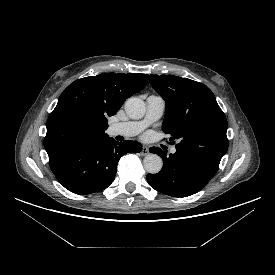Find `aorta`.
Returning a JSON list of instances; mask_svg holds the SVG:
<instances>
[{"label": "aorta", "mask_w": 275, "mask_h": 275, "mask_svg": "<svg viewBox=\"0 0 275 275\" xmlns=\"http://www.w3.org/2000/svg\"><path fill=\"white\" fill-rule=\"evenodd\" d=\"M125 111L131 119H140L145 114L146 106L140 98L131 97L125 103ZM143 165L148 173L156 174L162 169L163 161L160 156L151 153L145 156Z\"/></svg>", "instance_id": "1"}]
</instances>
